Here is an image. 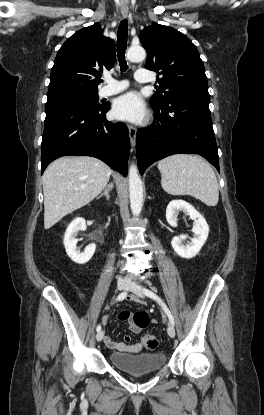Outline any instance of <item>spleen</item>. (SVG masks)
Wrapping results in <instances>:
<instances>
[{
	"label": "spleen",
	"instance_id": "1",
	"mask_svg": "<svg viewBox=\"0 0 264 415\" xmlns=\"http://www.w3.org/2000/svg\"><path fill=\"white\" fill-rule=\"evenodd\" d=\"M162 188L171 195H189L208 206L219 200L216 175L211 166L196 155L177 154L159 161Z\"/></svg>",
	"mask_w": 264,
	"mask_h": 415
}]
</instances>
